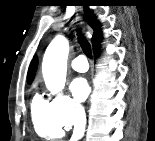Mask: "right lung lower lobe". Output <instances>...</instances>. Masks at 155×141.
I'll return each mask as SVG.
<instances>
[{
  "label": "right lung lower lobe",
  "instance_id": "98d812e1",
  "mask_svg": "<svg viewBox=\"0 0 155 141\" xmlns=\"http://www.w3.org/2000/svg\"><path fill=\"white\" fill-rule=\"evenodd\" d=\"M101 36V35H100ZM100 36L97 38V40L93 43V51L95 57L98 56V44L100 43Z\"/></svg>",
  "mask_w": 155,
  "mask_h": 141
}]
</instances>
